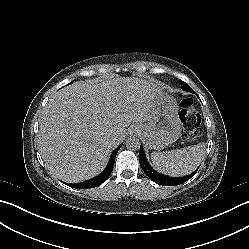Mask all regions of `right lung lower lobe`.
<instances>
[{
	"label": "right lung lower lobe",
	"instance_id": "98d812e1",
	"mask_svg": "<svg viewBox=\"0 0 249 249\" xmlns=\"http://www.w3.org/2000/svg\"><path fill=\"white\" fill-rule=\"evenodd\" d=\"M120 148H121V145L113 151L111 158L109 160V163L107 164V167L100 175H98L95 178H92L90 180L84 181L82 183L72 184V186L74 188H78V189H88V188H94L96 186H99L100 184L105 182L108 179V177L110 176V174L114 168L115 157H116V154Z\"/></svg>",
	"mask_w": 249,
	"mask_h": 249
}]
</instances>
